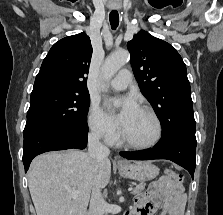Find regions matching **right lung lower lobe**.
Listing matches in <instances>:
<instances>
[{
    "label": "right lung lower lobe",
    "instance_id": "1",
    "mask_svg": "<svg viewBox=\"0 0 223 215\" xmlns=\"http://www.w3.org/2000/svg\"><path fill=\"white\" fill-rule=\"evenodd\" d=\"M88 132L75 130H41L24 136L23 163L25 172L32 159L44 152L65 149H84L87 146Z\"/></svg>",
    "mask_w": 223,
    "mask_h": 215
}]
</instances>
